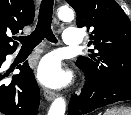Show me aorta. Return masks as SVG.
I'll use <instances>...</instances> for the list:
<instances>
[{
  "label": "aorta",
  "mask_w": 131,
  "mask_h": 115,
  "mask_svg": "<svg viewBox=\"0 0 131 115\" xmlns=\"http://www.w3.org/2000/svg\"><path fill=\"white\" fill-rule=\"evenodd\" d=\"M59 19L69 21L74 18V12L69 7H62L58 11ZM66 110V102L63 97H57L48 112V115H64Z\"/></svg>",
  "instance_id": "aorta-1"
}]
</instances>
